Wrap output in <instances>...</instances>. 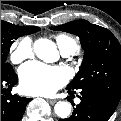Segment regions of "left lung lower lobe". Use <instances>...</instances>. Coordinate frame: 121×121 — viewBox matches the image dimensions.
Returning <instances> with one entry per match:
<instances>
[{
	"label": "left lung lower lobe",
	"mask_w": 121,
	"mask_h": 121,
	"mask_svg": "<svg viewBox=\"0 0 121 121\" xmlns=\"http://www.w3.org/2000/svg\"><path fill=\"white\" fill-rule=\"evenodd\" d=\"M68 90L70 95L74 93L72 89ZM80 91L81 103L74 108L69 118L59 121H107L119 103L100 90L84 88Z\"/></svg>",
	"instance_id": "obj_1"
}]
</instances>
